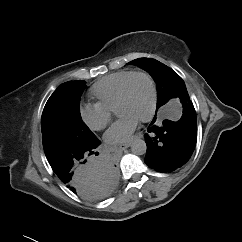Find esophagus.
Instances as JSON below:
<instances>
[{"label": "esophagus", "mask_w": 242, "mask_h": 242, "mask_svg": "<svg viewBox=\"0 0 242 242\" xmlns=\"http://www.w3.org/2000/svg\"><path fill=\"white\" fill-rule=\"evenodd\" d=\"M130 145H131V143H130V142H127V143H123V144L119 145V147H120L122 150H125V149L128 148Z\"/></svg>", "instance_id": "34e87169"}]
</instances>
